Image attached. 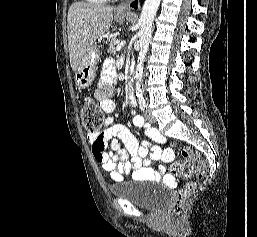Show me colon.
I'll return each mask as SVG.
<instances>
[{
  "label": "colon",
  "instance_id": "1",
  "mask_svg": "<svg viewBox=\"0 0 257 237\" xmlns=\"http://www.w3.org/2000/svg\"><path fill=\"white\" fill-rule=\"evenodd\" d=\"M81 119L85 129L94 133L99 132L103 123V115L98 105L93 100L87 99L83 103ZM181 154L186 160L173 164V173L183 177H190L195 171L194 162H198L196 173L198 178H202L206 171V164L201 160L200 153L190 146H184L181 148ZM194 189L195 183L189 182L178 192L172 207L173 215L179 216L183 212L184 207L189 202L190 194Z\"/></svg>",
  "mask_w": 257,
  "mask_h": 237
}]
</instances>
